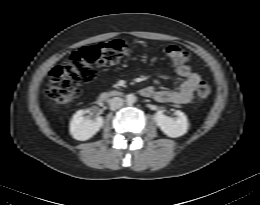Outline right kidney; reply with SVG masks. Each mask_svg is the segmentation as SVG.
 Returning a JSON list of instances; mask_svg holds the SVG:
<instances>
[{
	"label": "right kidney",
	"mask_w": 260,
	"mask_h": 205,
	"mask_svg": "<svg viewBox=\"0 0 260 205\" xmlns=\"http://www.w3.org/2000/svg\"><path fill=\"white\" fill-rule=\"evenodd\" d=\"M87 110L77 111L70 123V133L74 139L85 141L94 136L103 126V118L96 116L94 119L84 117Z\"/></svg>",
	"instance_id": "right-kidney-1"
}]
</instances>
